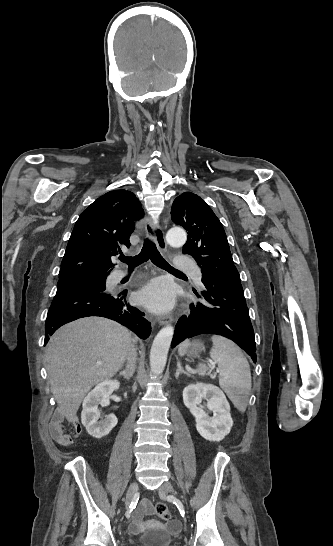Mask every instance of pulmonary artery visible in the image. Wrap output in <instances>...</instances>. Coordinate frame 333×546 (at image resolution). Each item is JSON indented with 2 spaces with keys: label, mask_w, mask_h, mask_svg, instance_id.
<instances>
[{
  "label": "pulmonary artery",
  "mask_w": 333,
  "mask_h": 546,
  "mask_svg": "<svg viewBox=\"0 0 333 546\" xmlns=\"http://www.w3.org/2000/svg\"><path fill=\"white\" fill-rule=\"evenodd\" d=\"M176 267L178 269H180V270H193L194 278L197 281L201 280L200 271L194 267L193 261L190 260L189 258L184 257V256L179 257L177 259V261H176ZM126 275H127L126 271L118 269V270L114 271V273L112 274V279L114 281H118V280L122 279L123 277H125Z\"/></svg>",
  "instance_id": "1"
}]
</instances>
